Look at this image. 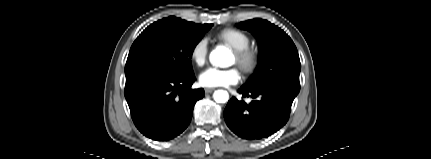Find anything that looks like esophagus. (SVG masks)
<instances>
[{
    "label": "esophagus",
    "instance_id": "obj_1",
    "mask_svg": "<svg viewBox=\"0 0 431 159\" xmlns=\"http://www.w3.org/2000/svg\"><path fill=\"white\" fill-rule=\"evenodd\" d=\"M214 90V88H205V93H212Z\"/></svg>",
    "mask_w": 431,
    "mask_h": 159
}]
</instances>
